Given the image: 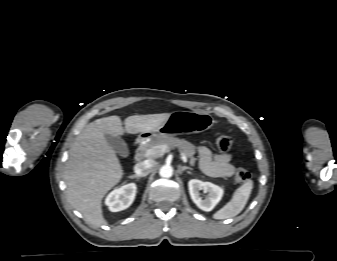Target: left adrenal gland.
Returning <instances> with one entry per match:
<instances>
[{"label": "left adrenal gland", "instance_id": "a2214340", "mask_svg": "<svg viewBox=\"0 0 337 261\" xmlns=\"http://www.w3.org/2000/svg\"><path fill=\"white\" fill-rule=\"evenodd\" d=\"M180 171H184V170H192V168L188 167V166H180L179 167Z\"/></svg>", "mask_w": 337, "mask_h": 261}]
</instances>
